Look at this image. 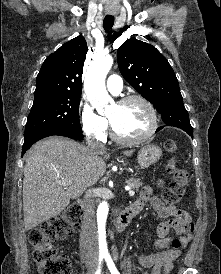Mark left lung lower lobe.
Segmentation results:
<instances>
[{"instance_id":"obj_1","label":"left lung lower lobe","mask_w":221,"mask_h":274,"mask_svg":"<svg viewBox=\"0 0 221 274\" xmlns=\"http://www.w3.org/2000/svg\"><path fill=\"white\" fill-rule=\"evenodd\" d=\"M162 119L166 125L178 127L184 130L190 136H193V129L189 121L188 113L184 106H181L178 109H172L168 112V114H165ZM162 128L163 126L159 127L157 131L161 130Z\"/></svg>"}]
</instances>
